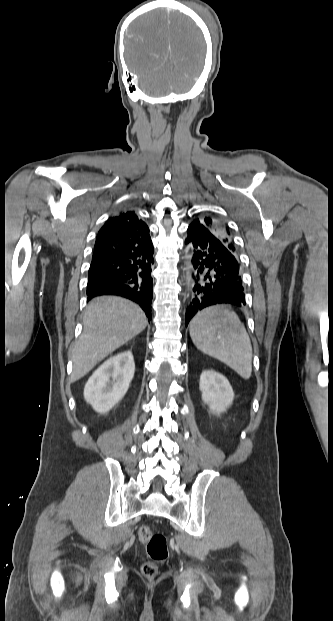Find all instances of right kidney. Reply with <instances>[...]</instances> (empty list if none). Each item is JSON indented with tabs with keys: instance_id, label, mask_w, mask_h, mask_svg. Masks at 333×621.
<instances>
[{
	"instance_id": "right-kidney-1",
	"label": "right kidney",
	"mask_w": 333,
	"mask_h": 621,
	"mask_svg": "<svg viewBox=\"0 0 333 621\" xmlns=\"http://www.w3.org/2000/svg\"><path fill=\"white\" fill-rule=\"evenodd\" d=\"M135 372L130 350L107 359L89 378L84 398L99 413L111 410L128 391Z\"/></svg>"
}]
</instances>
